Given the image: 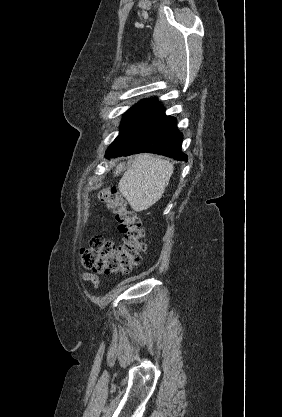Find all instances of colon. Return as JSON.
Masks as SVG:
<instances>
[{"label":"colon","instance_id":"5ec220e1","mask_svg":"<svg viewBox=\"0 0 282 417\" xmlns=\"http://www.w3.org/2000/svg\"><path fill=\"white\" fill-rule=\"evenodd\" d=\"M97 196L100 202L114 215L118 231L123 236L122 245L116 248L114 243L102 236H93L89 247L80 253L82 265L94 272L116 276L128 273L137 266L144 253V229L136 212L127 206L117 187L99 188Z\"/></svg>","mask_w":282,"mask_h":417}]
</instances>
